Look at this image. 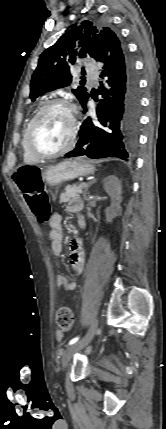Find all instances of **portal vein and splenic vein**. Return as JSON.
Returning a JSON list of instances; mask_svg holds the SVG:
<instances>
[{"label": "portal vein and splenic vein", "mask_w": 166, "mask_h": 429, "mask_svg": "<svg viewBox=\"0 0 166 429\" xmlns=\"http://www.w3.org/2000/svg\"><path fill=\"white\" fill-rule=\"evenodd\" d=\"M83 186H85V184H84V183H81V184L79 185V188H82Z\"/></svg>", "instance_id": "18ae733b"}]
</instances>
